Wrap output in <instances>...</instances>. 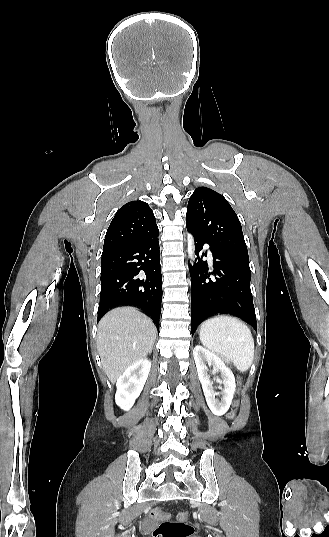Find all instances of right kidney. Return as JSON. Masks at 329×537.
Instances as JSON below:
<instances>
[{
  "label": "right kidney",
  "instance_id": "ca27d5eb",
  "mask_svg": "<svg viewBox=\"0 0 329 537\" xmlns=\"http://www.w3.org/2000/svg\"><path fill=\"white\" fill-rule=\"evenodd\" d=\"M151 362L147 358L133 363L123 372L116 383V404L128 411L139 397L148 378Z\"/></svg>",
  "mask_w": 329,
  "mask_h": 537
}]
</instances>
